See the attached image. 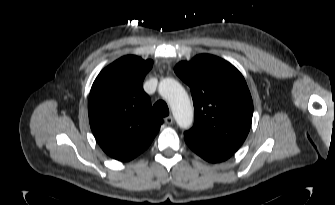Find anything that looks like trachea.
Returning <instances> with one entry per match:
<instances>
[{"label": "trachea", "instance_id": "obj_1", "mask_svg": "<svg viewBox=\"0 0 335 205\" xmlns=\"http://www.w3.org/2000/svg\"><path fill=\"white\" fill-rule=\"evenodd\" d=\"M153 111H154L156 114H158V115H160V116H162V117H166V116L169 115V108H168L166 102L163 101V100H158V101L154 104V106H153Z\"/></svg>", "mask_w": 335, "mask_h": 205}]
</instances>
